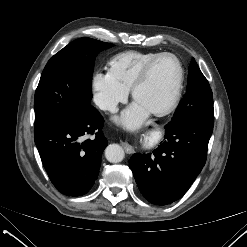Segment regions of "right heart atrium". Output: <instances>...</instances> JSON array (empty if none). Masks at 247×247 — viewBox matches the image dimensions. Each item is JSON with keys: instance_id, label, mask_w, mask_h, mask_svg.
<instances>
[{"instance_id": "right-heart-atrium-1", "label": "right heart atrium", "mask_w": 247, "mask_h": 247, "mask_svg": "<svg viewBox=\"0 0 247 247\" xmlns=\"http://www.w3.org/2000/svg\"><path fill=\"white\" fill-rule=\"evenodd\" d=\"M90 87L95 105L105 112L116 111L128 97V90L120 85L109 71H95Z\"/></svg>"}]
</instances>
